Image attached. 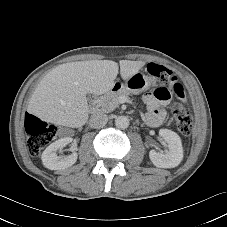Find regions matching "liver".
Segmentation results:
<instances>
[{
	"instance_id": "liver-1",
	"label": "liver",
	"mask_w": 227,
	"mask_h": 227,
	"mask_svg": "<svg viewBox=\"0 0 227 227\" xmlns=\"http://www.w3.org/2000/svg\"><path fill=\"white\" fill-rule=\"evenodd\" d=\"M120 75L129 79L144 61L120 60ZM119 70L112 60L70 62L47 73L34 90L28 112L42 121L78 128L88 120L87 94L102 95L112 90Z\"/></svg>"
}]
</instances>
